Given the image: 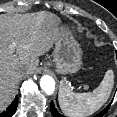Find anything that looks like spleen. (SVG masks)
Here are the masks:
<instances>
[{"instance_id": "obj_1", "label": "spleen", "mask_w": 117, "mask_h": 117, "mask_svg": "<svg viewBox=\"0 0 117 117\" xmlns=\"http://www.w3.org/2000/svg\"><path fill=\"white\" fill-rule=\"evenodd\" d=\"M114 85V72L109 69L93 92L73 93L64 81L60 82L58 100L68 117H87L99 110L108 100Z\"/></svg>"}]
</instances>
